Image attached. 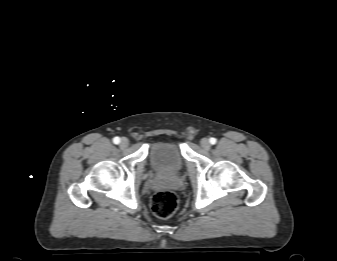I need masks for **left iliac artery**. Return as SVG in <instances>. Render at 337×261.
<instances>
[{"mask_svg": "<svg viewBox=\"0 0 337 261\" xmlns=\"http://www.w3.org/2000/svg\"><path fill=\"white\" fill-rule=\"evenodd\" d=\"M209 142H210L211 144H215V143L217 142V140H216V138L211 137V138L209 139Z\"/></svg>", "mask_w": 337, "mask_h": 261, "instance_id": "1", "label": "left iliac artery"}]
</instances>
